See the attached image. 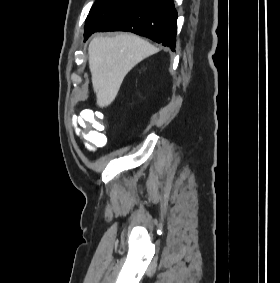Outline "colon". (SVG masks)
<instances>
[{
    "label": "colon",
    "instance_id": "colon-1",
    "mask_svg": "<svg viewBox=\"0 0 280 283\" xmlns=\"http://www.w3.org/2000/svg\"><path fill=\"white\" fill-rule=\"evenodd\" d=\"M101 119H104V114H97V110L82 112L76 118V123L83 125L79 131L80 138L93 149L101 148L107 141Z\"/></svg>",
    "mask_w": 280,
    "mask_h": 283
}]
</instances>
